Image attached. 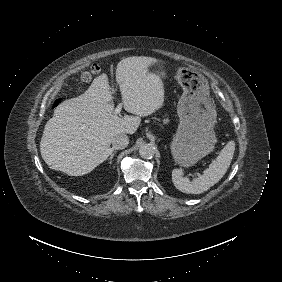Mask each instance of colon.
Returning a JSON list of instances; mask_svg holds the SVG:
<instances>
[{
  "mask_svg": "<svg viewBox=\"0 0 282 282\" xmlns=\"http://www.w3.org/2000/svg\"><path fill=\"white\" fill-rule=\"evenodd\" d=\"M100 72H101L100 66L97 63H95L89 69H87L86 71H84L81 74L80 80L81 81H88L92 77L97 76ZM58 102H59V100H56L55 105H58Z\"/></svg>",
  "mask_w": 282,
  "mask_h": 282,
  "instance_id": "obj_1",
  "label": "colon"
}]
</instances>
